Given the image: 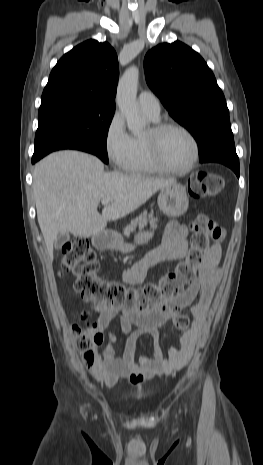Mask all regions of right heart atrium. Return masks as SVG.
Here are the masks:
<instances>
[{
	"mask_svg": "<svg viewBox=\"0 0 263 465\" xmlns=\"http://www.w3.org/2000/svg\"><path fill=\"white\" fill-rule=\"evenodd\" d=\"M104 150L108 159L119 169H126L132 151V136L128 133L123 117L115 112L105 129Z\"/></svg>",
	"mask_w": 263,
	"mask_h": 465,
	"instance_id": "right-heart-atrium-1",
	"label": "right heart atrium"
}]
</instances>
